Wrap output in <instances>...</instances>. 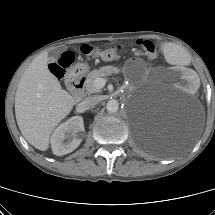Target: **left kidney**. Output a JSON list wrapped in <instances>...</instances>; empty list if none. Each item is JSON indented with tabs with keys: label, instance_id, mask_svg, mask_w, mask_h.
Here are the masks:
<instances>
[{
	"label": "left kidney",
	"instance_id": "1",
	"mask_svg": "<svg viewBox=\"0 0 215 215\" xmlns=\"http://www.w3.org/2000/svg\"><path fill=\"white\" fill-rule=\"evenodd\" d=\"M170 81L183 86L187 92H194L199 86V77L192 71L183 70L179 67H172L168 71Z\"/></svg>",
	"mask_w": 215,
	"mask_h": 215
}]
</instances>
